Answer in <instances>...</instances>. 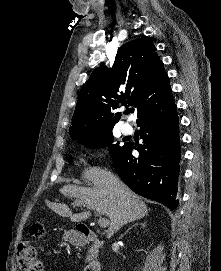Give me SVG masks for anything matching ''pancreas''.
Wrapping results in <instances>:
<instances>
[{"label": "pancreas", "instance_id": "cf45deb5", "mask_svg": "<svg viewBox=\"0 0 221 271\" xmlns=\"http://www.w3.org/2000/svg\"><path fill=\"white\" fill-rule=\"evenodd\" d=\"M92 259H95V257H94V253H93L91 247H89V249L87 251V255H86L87 263H89V261H92Z\"/></svg>", "mask_w": 221, "mask_h": 271}]
</instances>
